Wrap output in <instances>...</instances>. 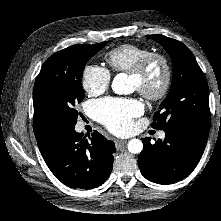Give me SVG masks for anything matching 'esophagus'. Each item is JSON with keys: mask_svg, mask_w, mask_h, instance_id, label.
Masks as SVG:
<instances>
[{"mask_svg": "<svg viewBox=\"0 0 221 221\" xmlns=\"http://www.w3.org/2000/svg\"><path fill=\"white\" fill-rule=\"evenodd\" d=\"M125 143H126L125 140H115V146L117 149L123 146Z\"/></svg>", "mask_w": 221, "mask_h": 221, "instance_id": "obj_1", "label": "esophagus"}]
</instances>
